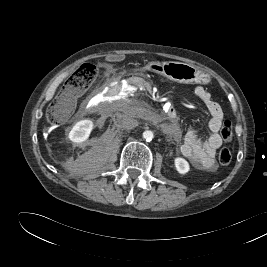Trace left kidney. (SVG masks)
<instances>
[{"label": "left kidney", "instance_id": "5707ae66", "mask_svg": "<svg viewBox=\"0 0 267 267\" xmlns=\"http://www.w3.org/2000/svg\"><path fill=\"white\" fill-rule=\"evenodd\" d=\"M174 164L180 174H186L190 170L189 163L182 157L175 158Z\"/></svg>", "mask_w": 267, "mask_h": 267}]
</instances>
